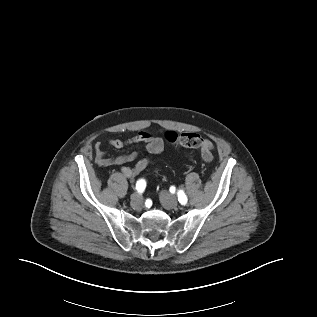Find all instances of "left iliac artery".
Masks as SVG:
<instances>
[{"instance_id":"44dca946","label":"left iliac artery","mask_w":317,"mask_h":317,"mask_svg":"<svg viewBox=\"0 0 317 317\" xmlns=\"http://www.w3.org/2000/svg\"><path fill=\"white\" fill-rule=\"evenodd\" d=\"M178 201L182 204L185 205L188 201L187 196L182 190L178 191Z\"/></svg>"}]
</instances>
